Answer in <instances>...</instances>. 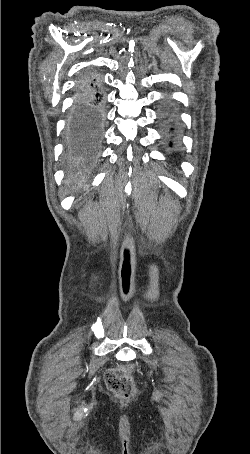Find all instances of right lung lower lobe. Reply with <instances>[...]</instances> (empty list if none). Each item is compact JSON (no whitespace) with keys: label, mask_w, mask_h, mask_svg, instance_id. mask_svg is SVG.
<instances>
[{"label":"right lung lower lobe","mask_w":250,"mask_h":454,"mask_svg":"<svg viewBox=\"0 0 250 454\" xmlns=\"http://www.w3.org/2000/svg\"><path fill=\"white\" fill-rule=\"evenodd\" d=\"M68 123L80 143L100 144L105 123L104 89L101 76L91 68L77 80Z\"/></svg>","instance_id":"1"}]
</instances>
